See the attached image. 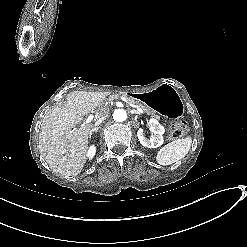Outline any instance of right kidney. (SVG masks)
Returning a JSON list of instances; mask_svg holds the SVG:
<instances>
[{
    "label": "right kidney",
    "mask_w": 247,
    "mask_h": 247,
    "mask_svg": "<svg viewBox=\"0 0 247 247\" xmlns=\"http://www.w3.org/2000/svg\"><path fill=\"white\" fill-rule=\"evenodd\" d=\"M89 155H90L91 157H93V156L95 155V148H94V147H91V148L89 149Z\"/></svg>",
    "instance_id": "right-kidney-1"
}]
</instances>
